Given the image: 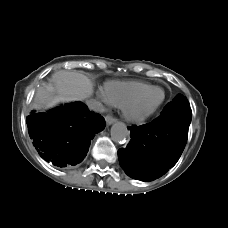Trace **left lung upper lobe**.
<instances>
[{"instance_id":"obj_1","label":"left lung upper lobe","mask_w":228,"mask_h":228,"mask_svg":"<svg viewBox=\"0 0 228 228\" xmlns=\"http://www.w3.org/2000/svg\"><path fill=\"white\" fill-rule=\"evenodd\" d=\"M165 111H177V112H184L185 114H191L190 104L187 98L182 95L178 94L171 102H169L166 107L164 108Z\"/></svg>"}]
</instances>
